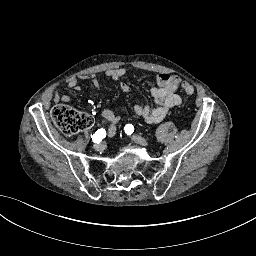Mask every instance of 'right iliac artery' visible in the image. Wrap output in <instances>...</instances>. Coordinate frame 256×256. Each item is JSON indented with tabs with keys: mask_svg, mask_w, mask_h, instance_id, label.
<instances>
[{
	"mask_svg": "<svg viewBox=\"0 0 256 256\" xmlns=\"http://www.w3.org/2000/svg\"><path fill=\"white\" fill-rule=\"evenodd\" d=\"M105 136H106V131H105V129L101 128V129L97 130L95 132V134H93L92 140L94 143H100V141L103 138H105Z\"/></svg>",
	"mask_w": 256,
	"mask_h": 256,
	"instance_id": "obj_1",
	"label": "right iliac artery"
}]
</instances>
